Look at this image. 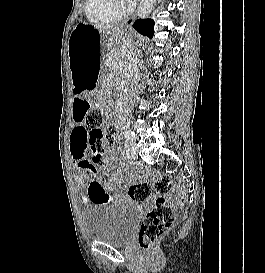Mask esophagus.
Here are the masks:
<instances>
[{
    "label": "esophagus",
    "instance_id": "34e87169",
    "mask_svg": "<svg viewBox=\"0 0 265 273\" xmlns=\"http://www.w3.org/2000/svg\"><path fill=\"white\" fill-rule=\"evenodd\" d=\"M133 21H134V16H131V17L127 18L126 20H124L123 25H127V26L131 25L133 23Z\"/></svg>",
    "mask_w": 265,
    "mask_h": 273
}]
</instances>
